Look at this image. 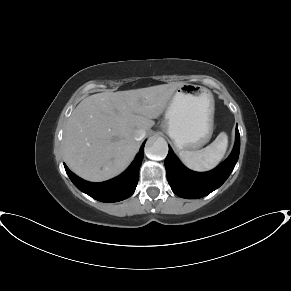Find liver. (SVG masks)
Listing matches in <instances>:
<instances>
[{
    "label": "liver",
    "mask_w": 291,
    "mask_h": 291,
    "mask_svg": "<svg viewBox=\"0 0 291 291\" xmlns=\"http://www.w3.org/2000/svg\"><path fill=\"white\" fill-rule=\"evenodd\" d=\"M182 83L102 92L83 99L69 117L64 160L81 178L101 182L122 173L140 147L136 130H150Z\"/></svg>",
    "instance_id": "1"
}]
</instances>
